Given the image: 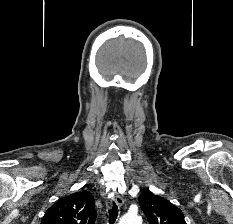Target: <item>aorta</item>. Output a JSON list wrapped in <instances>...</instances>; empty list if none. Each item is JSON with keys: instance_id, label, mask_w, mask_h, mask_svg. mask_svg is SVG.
Listing matches in <instances>:
<instances>
[{"instance_id": "obj_1", "label": "aorta", "mask_w": 233, "mask_h": 224, "mask_svg": "<svg viewBox=\"0 0 233 224\" xmlns=\"http://www.w3.org/2000/svg\"><path fill=\"white\" fill-rule=\"evenodd\" d=\"M119 224H142V221L137 214H126L120 219Z\"/></svg>"}]
</instances>
